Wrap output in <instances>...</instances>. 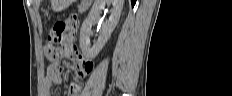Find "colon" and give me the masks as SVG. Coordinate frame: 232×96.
<instances>
[{"label":"colon","instance_id":"obj_1","mask_svg":"<svg viewBox=\"0 0 232 96\" xmlns=\"http://www.w3.org/2000/svg\"><path fill=\"white\" fill-rule=\"evenodd\" d=\"M67 25V20L57 21L54 23L48 34L47 47L45 48L46 56L52 61H58L63 54L67 55L68 51L74 50L76 48H65L66 44V34L65 26ZM57 68V67H56Z\"/></svg>","mask_w":232,"mask_h":96}]
</instances>
